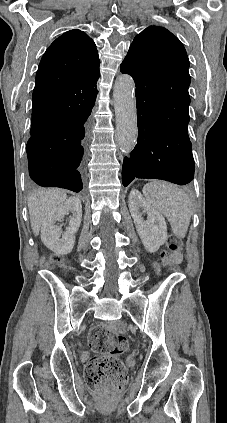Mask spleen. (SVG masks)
I'll return each instance as SVG.
<instances>
[{
  "label": "spleen",
  "instance_id": "1",
  "mask_svg": "<svg viewBox=\"0 0 227 423\" xmlns=\"http://www.w3.org/2000/svg\"><path fill=\"white\" fill-rule=\"evenodd\" d=\"M142 192L147 204L167 217L173 233L177 237H185L192 213L189 196L162 180H152Z\"/></svg>",
  "mask_w": 227,
  "mask_h": 423
}]
</instances>
